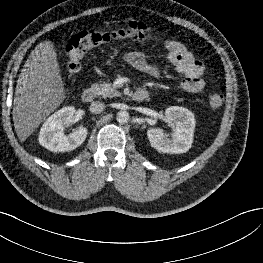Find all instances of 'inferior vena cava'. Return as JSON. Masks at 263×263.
<instances>
[{
	"mask_svg": "<svg viewBox=\"0 0 263 263\" xmlns=\"http://www.w3.org/2000/svg\"><path fill=\"white\" fill-rule=\"evenodd\" d=\"M105 109V104L100 101H95L90 104V111L94 114H99Z\"/></svg>",
	"mask_w": 263,
	"mask_h": 263,
	"instance_id": "obj_1",
	"label": "inferior vena cava"
}]
</instances>
